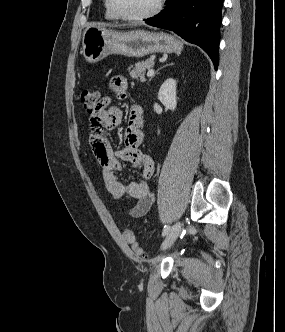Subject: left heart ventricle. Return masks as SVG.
Instances as JSON below:
<instances>
[{
  "label": "left heart ventricle",
  "mask_w": 285,
  "mask_h": 332,
  "mask_svg": "<svg viewBox=\"0 0 285 332\" xmlns=\"http://www.w3.org/2000/svg\"><path fill=\"white\" fill-rule=\"evenodd\" d=\"M157 0H113L115 8L123 15L138 16L150 12Z\"/></svg>",
  "instance_id": "left-heart-ventricle-1"
}]
</instances>
